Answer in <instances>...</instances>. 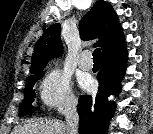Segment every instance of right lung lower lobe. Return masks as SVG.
<instances>
[{
	"label": "right lung lower lobe",
	"mask_w": 153,
	"mask_h": 134,
	"mask_svg": "<svg viewBox=\"0 0 153 134\" xmlns=\"http://www.w3.org/2000/svg\"><path fill=\"white\" fill-rule=\"evenodd\" d=\"M126 43L102 53V63L97 75L99 88L96 97L82 95L79 98L78 113L80 134H107V126L114 114L115 105L108 96L120 92V81L126 68Z\"/></svg>",
	"instance_id": "1"
}]
</instances>
